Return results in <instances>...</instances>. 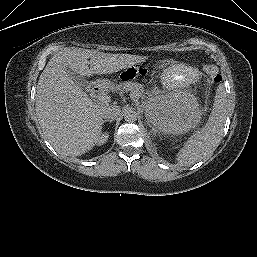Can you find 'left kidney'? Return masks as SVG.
I'll return each instance as SVG.
<instances>
[{
	"instance_id": "left-kidney-1",
	"label": "left kidney",
	"mask_w": 257,
	"mask_h": 257,
	"mask_svg": "<svg viewBox=\"0 0 257 257\" xmlns=\"http://www.w3.org/2000/svg\"><path fill=\"white\" fill-rule=\"evenodd\" d=\"M146 117L154 132L178 135L194 129L201 113L194 96L174 92L152 99Z\"/></svg>"
}]
</instances>
